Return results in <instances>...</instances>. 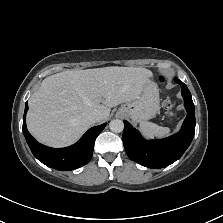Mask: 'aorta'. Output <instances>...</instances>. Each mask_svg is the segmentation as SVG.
I'll return each mask as SVG.
<instances>
[{
  "label": "aorta",
  "mask_w": 223,
  "mask_h": 223,
  "mask_svg": "<svg viewBox=\"0 0 223 223\" xmlns=\"http://www.w3.org/2000/svg\"><path fill=\"white\" fill-rule=\"evenodd\" d=\"M109 128L111 131H113L115 133H120L124 129V123L122 120L114 119L110 122Z\"/></svg>",
  "instance_id": "1"
}]
</instances>
